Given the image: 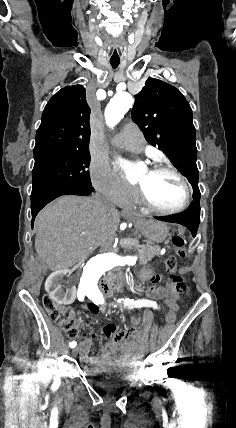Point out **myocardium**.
<instances>
[{"label": "myocardium", "instance_id": "1", "mask_svg": "<svg viewBox=\"0 0 236 428\" xmlns=\"http://www.w3.org/2000/svg\"><path fill=\"white\" fill-rule=\"evenodd\" d=\"M149 171L151 173L169 172V173H172L173 175H175L181 181V183L183 185L184 200L179 206H177L175 208H172V209L162 208L161 206L156 204L150 198V196L148 195V193H147V191L143 185L137 184L138 201L140 203H142L143 205H145L149 209H151L157 213L163 214V215L177 214V213L184 211L185 209H187L189 207V205L191 203V199H192L191 186H190L188 178L178 168H176L173 164H171L169 162H162V163L153 164L149 168Z\"/></svg>", "mask_w": 236, "mask_h": 428}]
</instances>
